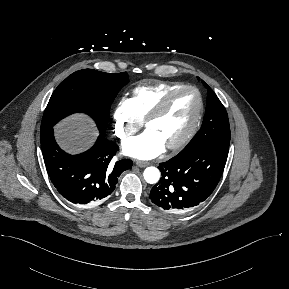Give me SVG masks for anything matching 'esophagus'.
<instances>
[{
  "label": "esophagus",
  "instance_id": "1",
  "mask_svg": "<svg viewBox=\"0 0 289 289\" xmlns=\"http://www.w3.org/2000/svg\"><path fill=\"white\" fill-rule=\"evenodd\" d=\"M136 165H137L138 167L143 168V167L148 166L149 163H148V162H144V161H136Z\"/></svg>",
  "mask_w": 289,
  "mask_h": 289
}]
</instances>
